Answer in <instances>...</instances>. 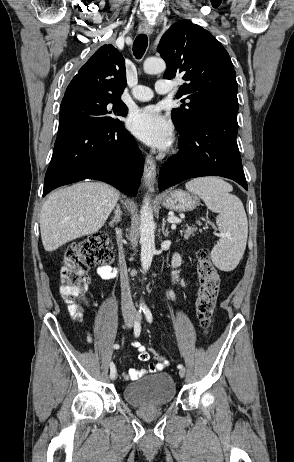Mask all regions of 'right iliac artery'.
Instances as JSON below:
<instances>
[{
  "mask_svg": "<svg viewBox=\"0 0 294 462\" xmlns=\"http://www.w3.org/2000/svg\"><path fill=\"white\" fill-rule=\"evenodd\" d=\"M141 313V309L139 310V313L137 315V317L139 318V315ZM140 331H141V326H140V323H139V320L137 319L135 321V324H134V335L137 337L140 335ZM114 349H119V345L118 344H115L114 346ZM116 375V369H115V365L113 362L110 363V378H113L114 376Z\"/></svg>",
  "mask_w": 294,
  "mask_h": 462,
  "instance_id": "1",
  "label": "right iliac artery"
}]
</instances>
